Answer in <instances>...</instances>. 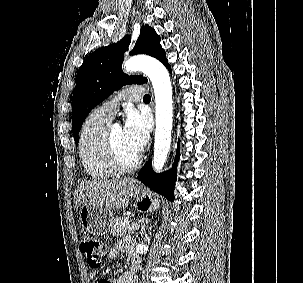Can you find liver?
<instances>
[{"label": "liver", "instance_id": "obj_1", "mask_svg": "<svg viewBox=\"0 0 303 283\" xmlns=\"http://www.w3.org/2000/svg\"><path fill=\"white\" fill-rule=\"evenodd\" d=\"M136 181L133 178L113 180H82L74 193V208L81 204H97L113 209L129 205Z\"/></svg>", "mask_w": 303, "mask_h": 283}]
</instances>
